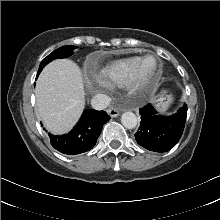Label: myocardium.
Segmentation results:
<instances>
[{
    "instance_id": "obj_1",
    "label": "myocardium",
    "mask_w": 220,
    "mask_h": 220,
    "mask_svg": "<svg viewBox=\"0 0 220 220\" xmlns=\"http://www.w3.org/2000/svg\"><path fill=\"white\" fill-rule=\"evenodd\" d=\"M152 58L155 61V69L150 72V73H145L142 69L143 63L145 60ZM159 60L156 56L152 54H147L141 57L137 64L135 65L132 74L130 76V79L127 84H129L133 88H142L145 85H147L150 80L154 77V75L158 72L159 70Z\"/></svg>"
}]
</instances>
